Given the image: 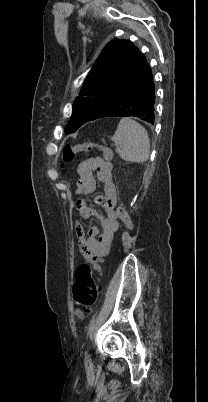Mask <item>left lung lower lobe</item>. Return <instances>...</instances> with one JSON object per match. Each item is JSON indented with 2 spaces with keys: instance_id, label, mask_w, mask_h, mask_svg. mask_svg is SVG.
<instances>
[{
  "instance_id": "left-lung-lower-lobe-1",
  "label": "left lung lower lobe",
  "mask_w": 208,
  "mask_h": 402,
  "mask_svg": "<svg viewBox=\"0 0 208 402\" xmlns=\"http://www.w3.org/2000/svg\"><path fill=\"white\" fill-rule=\"evenodd\" d=\"M145 63L132 81L121 92L119 98L104 110L102 117H138L154 124L155 120V84L151 67Z\"/></svg>"
}]
</instances>
